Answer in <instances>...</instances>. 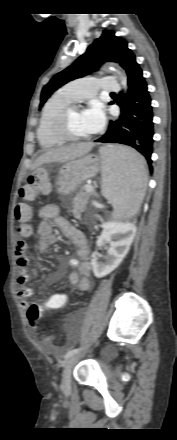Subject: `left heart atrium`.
Wrapping results in <instances>:
<instances>
[{"label": "left heart atrium", "instance_id": "1", "mask_svg": "<svg viewBox=\"0 0 177 440\" xmlns=\"http://www.w3.org/2000/svg\"><path fill=\"white\" fill-rule=\"evenodd\" d=\"M82 119L89 134L100 131L105 123L103 106L98 102L92 103L88 108L82 111Z\"/></svg>", "mask_w": 177, "mask_h": 440}]
</instances>
